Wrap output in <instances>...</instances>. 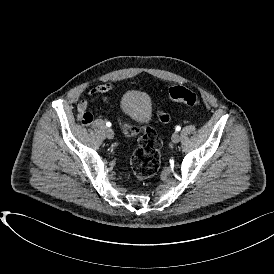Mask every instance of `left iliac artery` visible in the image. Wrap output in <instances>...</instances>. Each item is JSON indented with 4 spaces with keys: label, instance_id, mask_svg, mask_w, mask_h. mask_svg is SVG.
Here are the masks:
<instances>
[{
    "label": "left iliac artery",
    "instance_id": "obj_1",
    "mask_svg": "<svg viewBox=\"0 0 274 274\" xmlns=\"http://www.w3.org/2000/svg\"><path fill=\"white\" fill-rule=\"evenodd\" d=\"M175 129H176V131H180L181 127L177 126Z\"/></svg>",
    "mask_w": 274,
    "mask_h": 274
}]
</instances>
